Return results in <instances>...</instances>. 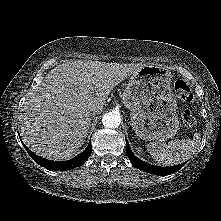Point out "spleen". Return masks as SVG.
<instances>
[{
  "label": "spleen",
  "instance_id": "1",
  "mask_svg": "<svg viewBox=\"0 0 221 221\" xmlns=\"http://www.w3.org/2000/svg\"><path fill=\"white\" fill-rule=\"evenodd\" d=\"M200 135L193 139H176L168 143L151 142L147 149L154 160L162 165H177L188 160L200 148Z\"/></svg>",
  "mask_w": 221,
  "mask_h": 221
}]
</instances>
